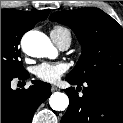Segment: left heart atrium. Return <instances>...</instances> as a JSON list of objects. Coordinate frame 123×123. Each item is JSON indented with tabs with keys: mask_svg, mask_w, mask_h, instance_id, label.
<instances>
[{
	"mask_svg": "<svg viewBox=\"0 0 123 123\" xmlns=\"http://www.w3.org/2000/svg\"><path fill=\"white\" fill-rule=\"evenodd\" d=\"M67 69L68 67L64 63L43 62L35 67L34 73L37 78L44 82L55 83Z\"/></svg>",
	"mask_w": 123,
	"mask_h": 123,
	"instance_id": "39dd6f15",
	"label": "left heart atrium"
}]
</instances>
